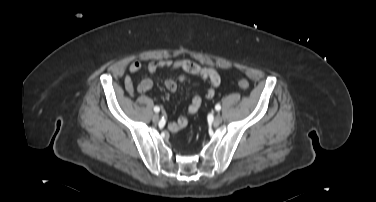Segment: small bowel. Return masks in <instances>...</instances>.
I'll list each match as a JSON object with an SVG mask.
<instances>
[{
    "instance_id": "small-bowel-1",
    "label": "small bowel",
    "mask_w": 376,
    "mask_h": 202,
    "mask_svg": "<svg viewBox=\"0 0 376 202\" xmlns=\"http://www.w3.org/2000/svg\"><path fill=\"white\" fill-rule=\"evenodd\" d=\"M143 63L140 61H134L129 66V74L124 77V89L131 96L134 97L137 93H145L151 90L153 83L150 79L142 80L137 87L134 86L131 75L141 70ZM147 69L151 73L158 72L163 69H167L171 72L183 71L186 74L199 76L203 80L209 83V88L206 92L207 99H213L216 93V88L221 83V78L218 72L210 67L201 66L191 60H153L147 64ZM186 76L184 74H178L174 77L168 78L165 81V88L173 93L177 90L178 83L184 82ZM202 104V98L199 95H195L188 107L189 114H195ZM188 124V118L182 116L176 121H173L169 125V129L173 132L179 131L186 127Z\"/></svg>"
}]
</instances>
